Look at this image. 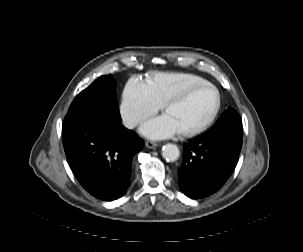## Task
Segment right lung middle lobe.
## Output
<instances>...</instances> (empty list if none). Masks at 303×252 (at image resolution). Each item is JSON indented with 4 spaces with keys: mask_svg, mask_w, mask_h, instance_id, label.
Masks as SVG:
<instances>
[{
    "mask_svg": "<svg viewBox=\"0 0 303 252\" xmlns=\"http://www.w3.org/2000/svg\"><path fill=\"white\" fill-rule=\"evenodd\" d=\"M115 88L116 82L111 75L99 77L76 96L68 115L92 108L111 109L119 115Z\"/></svg>",
    "mask_w": 303,
    "mask_h": 252,
    "instance_id": "1",
    "label": "right lung middle lobe"
}]
</instances>
